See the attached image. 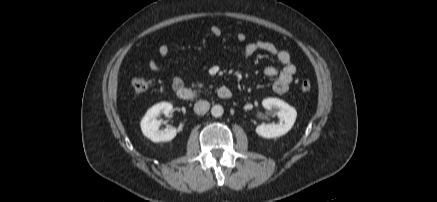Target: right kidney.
<instances>
[{"label": "right kidney", "mask_w": 437, "mask_h": 202, "mask_svg": "<svg viewBox=\"0 0 437 202\" xmlns=\"http://www.w3.org/2000/svg\"><path fill=\"white\" fill-rule=\"evenodd\" d=\"M173 109V105L168 102H161L151 107L141 120L140 126L145 137L153 142L171 141L177 134L173 127H167L159 130L161 120L158 117L161 114L168 115Z\"/></svg>", "instance_id": "ca27d5eb"}]
</instances>
